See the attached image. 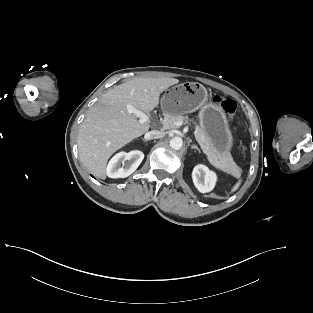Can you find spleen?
Wrapping results in <instances>:
<instances>
[{
	"mask_svg": "<svg viewBox=\"0 0 313 313\" xmlns=\"http://www.w3.org/2000/svg\"><path fill=\"white\" fill-rule=\"evenodd\" d=\"M240 184H241V179L232 187L229 194L235 192L239 188Z\"/></svg>",
	"mask_w": 313,
	"mask_h": 313,
	"instance_id": "spleen-1",
	"label": "spleen"
}]
</instances>
